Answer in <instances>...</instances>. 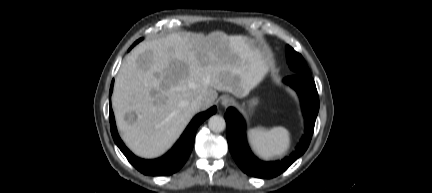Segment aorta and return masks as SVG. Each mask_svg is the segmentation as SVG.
<instances>
[{
    "label": "aorta",
    "mask_w": 432,
    "mask_h": 193,
    "mask_svg": "<svg viewBox=\"0 0 432 193\" xmlns=\"http://www.w3.org/2000/svg\"><path fill=\"white\" fill-rule=\"evenodd\" d=\"M208 126L213 132H222L226 128V122L222 116L213 115L208 120Z\"/></svg>",
    "instance_id": "aorta-1"
}]
</instances>
